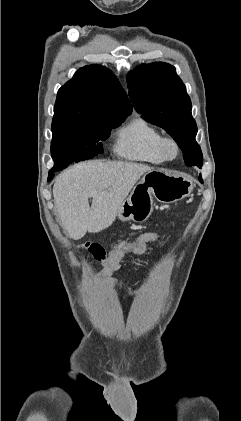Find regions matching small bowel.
I'll list each match as a JSON object with an SVG mask.
<instances>
[{
    "mask_svg": "<svg viewBox=\"0 0 241 421\" xmlns=\"http://www.w3.org/2000/svg\"><path fill=\"white\" fill-rule=\"evenodd\" d=\"M159 237L160 235L157 232H146L137 239V242L143 245H147L149 243L157 241ZM123 257V254L111 253L108 261L104 265L103 270L99 273L97 281L99 284L102 285L108 284L116 286L127 297L133 299L136 296L135 292L126 283L111 276L112 272L116 271L119 268L120 262L123 259ZM91 288L92 287L88 285L84 287V290L88 292Z\"/></svg>",
    "mask_w": 241,
    "mask_h": 421,
    "instance_id": "c3829d8e",
    "label": "small bowel"
}]
</instances>
